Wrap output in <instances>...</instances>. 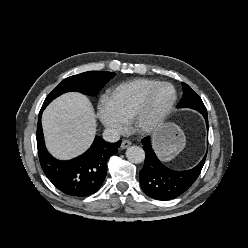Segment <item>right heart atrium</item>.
Segmentation results:
<instances>
[{
  "label": "right heart atrium",
  "instance_id": "obj_1",
  "mask_svg": "<svg viewBox=\"0 0 248 248\" xmlns=\"http://www.w3.org/2000/svg\"><path fill=\"white\" fill-rule=\"evenodd\" d=\"M97 115L102 125L113 133L120 134L126 128V121L117 112L109 96L103 95L99 99Z\"/></svg>",
  "mask_w": 248,
  "mask_h": 248
}]
</instances>
